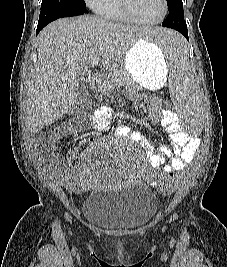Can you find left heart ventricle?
I'll list each match as a JSON object with an SVG mask.
<instances>
[{"mask_svg": "<svg viewBox=\"0 0 227 267\" xmlns=\"http://www.w3.org/2000/svg\"><path fill=\"white\" fill-rule=\"evenodd\" d=\"M135 13L143 20H156L163 11L162 0H133Z\"/></svg>", "mask_w": 227, "mask_h": 267, "instance_id": "left-heart-ventricle-1", "label": "left heart ventricle"}]
</instances>
